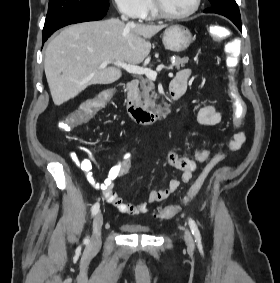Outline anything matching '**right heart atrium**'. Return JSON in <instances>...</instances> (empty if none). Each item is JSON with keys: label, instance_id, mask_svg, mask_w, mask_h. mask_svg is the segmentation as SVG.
<instances>
[{"label": "right heart atrium", "instance_id": "d8ad5b80", "mask_svg": "<svg viewBox=\"0 0 280 283\" xmlns=\"http://www.w3.org/2000/svg\"><path fill=\"white\" fill-rule=\"evenodd\" d=\"M120 13L133 20L146 17L150 3L149 0H114Z\"/></svg>", "mask_w": 280, "mask_h": 283}]
</instances>
